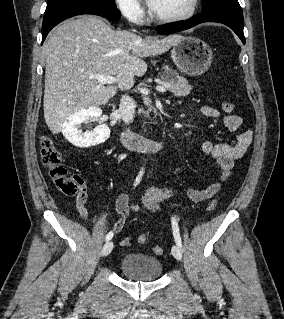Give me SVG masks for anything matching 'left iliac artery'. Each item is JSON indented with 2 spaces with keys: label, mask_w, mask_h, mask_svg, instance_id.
Segmentation results:
<instances>
[{
  "label": "left iliac artery",
  "mask_w": 284,
  "mask_h": 319,
  "mask_svg": "<svg viewBox=\"0 0 284 319\" xmlns=\"http://www.w3.org/2000/svg\"><path fill=\"white\" fill-rule=\"evenodd\" d=\"M171 221H172V229H173L175 242L179 247H182L177 220L175 219V217H172Z\"/></svg>",
  "instance_id": "1"
}]
</instances>
